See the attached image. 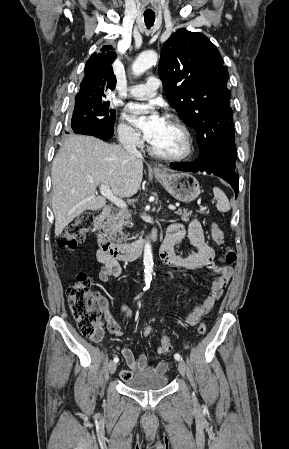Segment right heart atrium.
I'll return each instance as SVG.
<instances>
[{
    "instance_id": "right-heart-atrium-1",
    "label": "right heart atrium",
    "mask_w": 289,
    "mask_h": 449,
    "mask_svg": "<svg viewBox=\"0 0 289 449\" xmlns=\"http://www.w3.org/2000/svg\"><path fill=\"white\" fill-rule=\"evenodd\" d=\"M118 138L126 146H137L140 144L139 134L123 121L118 125Z\"/></svg>"
}]
</instances>
